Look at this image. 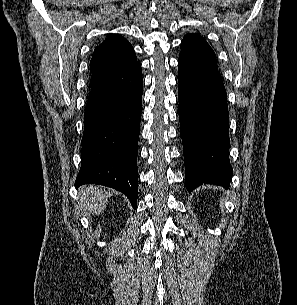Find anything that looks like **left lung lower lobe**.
I'll return each instance as SVG.
<instances>
[{
	"mask_svg": "<svg viewBox=\"0 0 297 305\" xmlns=\"http://www.w3.org/2000/svg\"><path fill=\"white\" fill-rule=\"evenodd\" d=\"M180 132L186 187L204 184L228 188L229 114L226 90L218 69L186 71L178 67Z\"/></svg>",
	"mask_w": 297,
	"mask_h": 305,
	"instance_id": "1",
	"label": "left lung lower lobe"
}]
</instances>
